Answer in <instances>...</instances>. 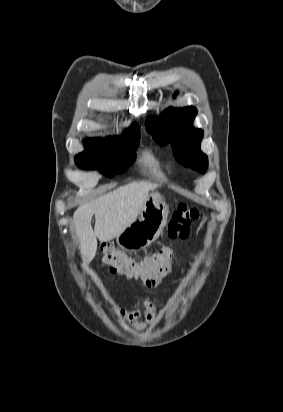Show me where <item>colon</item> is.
Segmentation results:
<instances>
[{"mask_svg":"<svg viewBox=\"0 0 283 412\" xmlns=\"http://www.w3.org/2000/svg\"><path fill=\"white\" fill-rule=\"evenodd\" d=\"M201 218L202 212L198 208L188 204L178 205L168 223V237L172 241L186 239L190 234L192 223ZM102 252L103 261L111 266L113 273L151 283H157L169 272L173 257L171 244L142 260L128 257L110 245H104Z\"/></svg>","mask_w":283,"mask_h":412,"instance_id":"1","label":"colon"}]
</instances>
